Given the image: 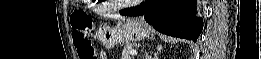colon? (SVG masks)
Segmentation results:
<instances>
[{"instance_id":"1","label":"colon","mask_w":261,"mask_h":59,"mask_svg":"<svg viewBox=\"0 0 261 59\" xmlns=\"http://www.w3.org/2000/svg\"><path fill=\"white\" fill-rule=\"evenodd\" d=\"M74 47L80 59H97L95 48L90 40L93 31L91 21L80 12H74L70 19Z\"/></svg>"}]
</instances>
